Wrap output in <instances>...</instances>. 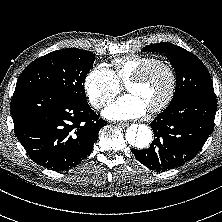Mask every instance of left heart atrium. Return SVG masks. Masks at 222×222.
Returning a JSON list of instances; mask_svg holds the SVG:
<instances>
[{
  "mask_svg": "<svg viewBox=\"0 0 222 222\" xmlns=\"http://www.w3.org/2000/svg\"><path fill=\"white\" fill-rule=\"evenodd\" d=\"M148 108L144 101L134 93L126 94L111 104L103 112L112 120H129L143 116Z\"/></svg>",
  "mask_w": 222,
  "mask_h": 222,
  "instance_id": "1",
  "label": "left heart atrium"
}]
</instances>
